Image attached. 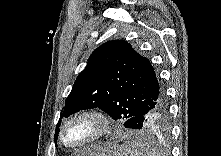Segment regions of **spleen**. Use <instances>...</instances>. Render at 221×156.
Returning a JSON list of instances; mask_svg holds the SVG:
<instances>
[{
  "instance_id": "1",
  "label": "spleen",
  "mask_w": 221,
  "mask_h": 156,
  "mask_svg": "<svg viewBox=\"0 0 221 156\" xmlns=\"http://www.w3.org/2000/svg\"><path fill=\"white\" fill-rule=\"evenodd\" d=\"M124 147L127 149V152L130 156H156L157 155L156 150L149 147V145L141 139L127 141L125 142Z\"/></svg>"
}]
</instances>
